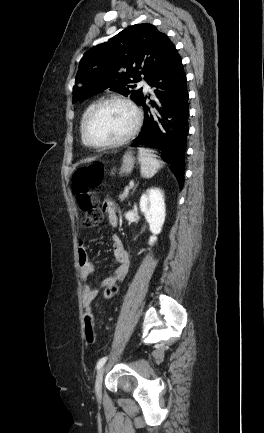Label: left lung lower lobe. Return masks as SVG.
<instances>
[{"mask_svg": "<svg viewBox=\"0 0 264 433\" xmlns=\"http://www.w3.org/2000/svg\"><path fill=\"white\" fill-rule=\"evenodd\" d=\"M156 90L143 95L138 104L144 110V126L133 142L161 151L180 186L184 181V158L188 134V89L181 57L169 53L162 67L148 80ZM146 101L150 106L146 105Z\"/></svg>", "mask_w": 264, "mask_h": 433, "instance_id": "left-lung-lower-lobe-1", "label": "left lung lower lobe"}]
</instances>
